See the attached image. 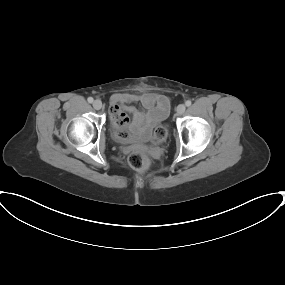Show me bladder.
<instances>
[{
	"label": "bladder",
	"mask_w": 285,
	"mask_h": 285,
	"mask_svg": "<svg viewBox=\"0 0 285 285\" xmlns=\"http://www.w3.org/2000/svg\"><path fill=\"white\" fill-rule=\"evenodd\" d=\"M166 117H167V114L162 118V120L165 119ZM112 130H113L114 136L121 140L124 138H127L130 141H142L145 139V136L141 134H133L131 136L126 137L120 132V130L117 127H113Z\"/></svg>",
	"instance_id": "1"
}]
</instances>
